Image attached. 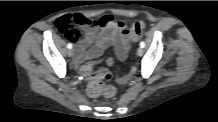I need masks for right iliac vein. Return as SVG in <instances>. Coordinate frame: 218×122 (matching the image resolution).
<instances>
[{
    "label": "right iliac vein",
    "mask_w": 218,
    "mask_h": 122,
    "mask_svg": "<svg viewBox=\"0 0 218 122\" xmlns=\"http://www.w3.org/2000/svg\"><path fill=\"white\" fill-rule=\"evenodd\" d=\"M67 54H68L69 57H72L73 54H74V50L73 49H69Z\"/></svg>",
    "instance_id": "right-iliac-vein-1"
}]
</instances>
